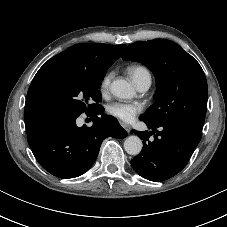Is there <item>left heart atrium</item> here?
Returning a JSON list of instances; mask_svg holds the SVG:
<instances>
[{
    "label": "left heart atrium",
    "mask_w": 227,
    "mask_h": 227,
    "mask_svg": "<svg viewBox=\"0 0 227 227\" xmlns=\"http://www.w3.org/2000/svg\"><path fill=\"white\" fill-rule=\"evenodd\" d=\"M142 110V106L137 102L117 101L107 106V112L124 122H130Z\"/></svg>",
    "instance_id": "39dd6f15"
}]
</instances>
